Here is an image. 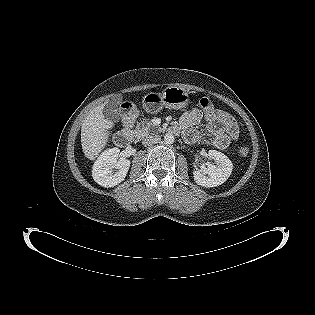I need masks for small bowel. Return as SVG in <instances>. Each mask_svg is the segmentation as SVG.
Segmentation results:
<instances>
[{"label": "small bowel", "instance_id": "c3829d8e", "mask_svg": "<svg viewBox=\"0 0 315 315\" xmlns=\"http://www.w3.org/2000/svg\"><path fill=\"white\" fill-rule=\"evenodd\" d=\"M203 122L206 123L205 130L196 129ZM177 127L187 143H205L221 150L226 149L238 136L234 118L217 108L208 111L198 108L188 110L180 117Z\"/></svg>", "mask_w": 315, "mask_h": 315}]
</instances>
